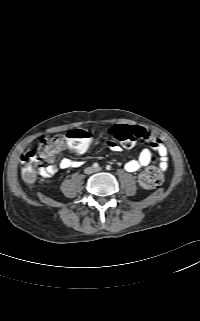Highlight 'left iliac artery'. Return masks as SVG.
I'll list each match as a JSON object with an SVG mask.
<instances>
[{
    "mask_svg": "<svg viewBox=\"0 0 200 321\" xmlns=\"http://www.w3.org/2000/svg\"><path fill=\"white\" fill-rule=\"evenodd\" d=\"M106 169H107V170H110V169H111V166H110V165H107V166H106Z\"/></svg>",
    "mask_w": 200,
    "mask_h": 321,
    "instance_id": "left-iliac-artery-1",
    "label": "left iliac artery"
}]
</instances>
